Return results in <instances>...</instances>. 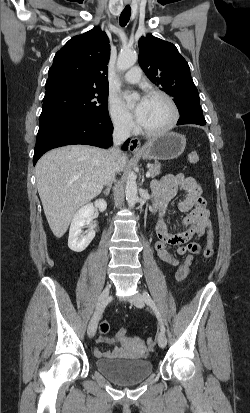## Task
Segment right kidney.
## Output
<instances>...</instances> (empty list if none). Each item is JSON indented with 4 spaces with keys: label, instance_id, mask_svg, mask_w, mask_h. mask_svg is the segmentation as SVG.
Listing matches in <instances>:
<instances>
[{
    "label": "right kidney",
    "instance_id": "obj_1",
    "mask_svg": "<svg viewBox=\"0 0 250 413\" xmlns=\"http://www.w3.org/2000/svg\"><path fill=\"white\" fill-rule=\"evenodd\" d=\"M95 207L103 212L107 208V203L103 199L96 200L94 203H88L82 206L74 215L68 238V246L74 252H82L87 248L95 237V230L92 226V220ZM87 225L89 230L82 233V228Z\"/></svg>",
    "mask_w": 250,
    "mask_h": 413
}]
</instances>
